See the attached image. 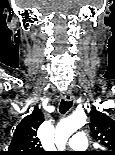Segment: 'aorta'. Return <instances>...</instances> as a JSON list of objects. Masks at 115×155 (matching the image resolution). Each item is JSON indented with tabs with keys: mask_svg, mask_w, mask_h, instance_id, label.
I'll list each match as a JSON object with an SVG mask.
<instances>
[{
	"mask_svg": "<svg viewBox=\"0 0 115 155\" xmlns=\"http://www.w3.org/2000/svg\"><path fill=\"white\" fill-rule=\"evenodd\" d=\"M86 123V115L83 112H76L61 120L56 126L55 143L63 150L69 137Z\"/></svg>",
	"mask_w": 115,
	"mask_h": 155,
	"instance_id": "obj_1",
	"label": "aorta"
}]
</instances>
